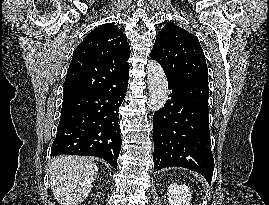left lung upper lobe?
I'll return each mask as SVG.
<instances>
[{"label": "left lung upper lobe", "instance_id": "1", "mask_svg": "<svg viewBox=\"0 0 269 205\" xmlns=\"http://www.w3.org/2000/svg\"><path fill=\"white\" fill-rule=\"evenodd\" d=\"M151 58L162 66L167 79L208 83L205 55L199 40L174 23L157 34Z\"/></svg>", "mask_w": 269, "mask_h": 205}]
</instances>
